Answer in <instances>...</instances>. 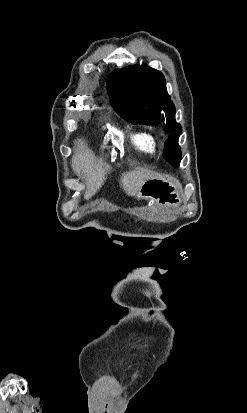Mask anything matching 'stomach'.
Here are the masks:
<instances>
[{"mask_svg":"<svg viewBox=\"0 0 247 413\" xmlns=\"http://www.w3.org/2000/svg\"><path fill=\"white\" fill-rule=\"evenodd\" d=\"M137 198H149L162 207H180L182 202V188L180 182L173 176H156L143 182Z\"/></svg>","mask_w":247,"mask_h":413,"instance_id":"1","label":"stomach"}]
</instances>
